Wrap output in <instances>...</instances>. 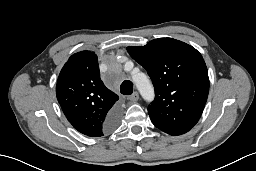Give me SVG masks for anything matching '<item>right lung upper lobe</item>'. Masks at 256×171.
Here are the masks:
<instances>
[{
  "instance_id": "1",
  "label": "right lung upper lobe",
  "mask_w": 256,
  "mask_h": 171,
  "mask_svg": "<svg viewBox=\"0 0 256 171\" xmlns=\"http://www.w3.org/2000/svg\"><path fill=\"white\" fill-rule=\"evenodd\" d=\"M57 100L71 125L80 133L100 137L119 97L100 79L95 52L73 54L63 66L56 85Z\"/></svg>"
}]
</instances>
